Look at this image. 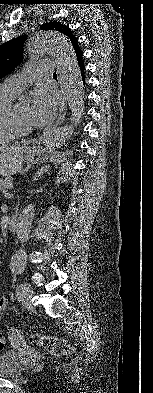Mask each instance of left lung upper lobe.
<instances>
[{
    "mask_svg": "<svg viewBox=\"0 0 153 393\" xmlns=\"http://www.w3.org/2000/svg\"><path fill=\"white\" fill-rule=\"evenodd\" d=\"M43 30H54L63 33L67 36L75 52H80L78 46V38L73 34L71 29L62 22H48L40 26ZM26 36H20L16 39L10 40L0 46V79L11 73L23 59V43Z\"/></svg>",
    "mask_w": 153,
    "mask_h": 393,
    "instance_id": "obj_1",
    "label": "left lung upper lobe"
}]
</instances>
